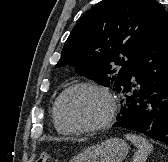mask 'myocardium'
Here are the masks:
<instances>
[{"instance_id":"1","label":"myocardium","mask_w":168,"mask_h":162,"mask_svg":"<svg viewBox=\"0 0 168 162\" xmlns=\"http://www.w3.org/2000/svg\"><path fill=\"white\" fill-rule=\"evenodd\" d=\"M91 89L101 93L103 96L106 97L109 103V111L107 116L100 122L92 125H73L68 123L62 116L61 113V104L63 99L67 94L70 92L77 90V89ZM117 112V105L116 101L112 95V93L105 87L91 83V82H80L71 85L70 87L66 88L56 99L54 104V113L57 121L63 126L65 129L69 130L70 132H96L101 131L109 127L114 120Z\"/></svg>"}]
</instances>
